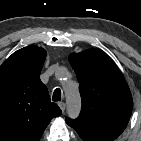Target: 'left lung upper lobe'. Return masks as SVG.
<instances>
[{
	"instance_id": "obj_1",
	"label": "left lung upper lobe",
	"mask_w": 141,
	"mask_h": 141,
	"mask_svg": "<svg viewBox=\"0 0 141 141\" xmlns=\"http://www.w3.org/2000/svg\"><path fill=\"white\" fill-rule=\"evenodd\" d=\"M80 84L82 111L66 119L84 141H113L126 128L133 100L115 63L100 50L89 49L69 56Z\"/></svg>"
}]
</instances>
